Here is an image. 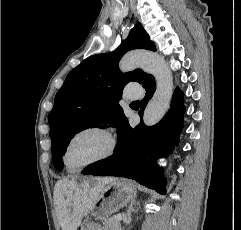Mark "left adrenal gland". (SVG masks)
<instances>
[{
    "label": "left adrenal gland",
    "mask_w": 241,
    "mask_h": 230,
    "mask_svg": "<svg viewBox=\"0 0 241 230\" xmlns=\"http://www.w3.org/2000/svg\"><path fill=\"white\" fill-rule=\"evenodd\" d=\"M136 204V201H132L131 204L129 205L128 209H127V217L125 219V223L126 224H130L131 223V213L134 211H137L136 209H134V205Z\"/></svg>",
    "instance_id": "a2214340"
}]
</instances>
